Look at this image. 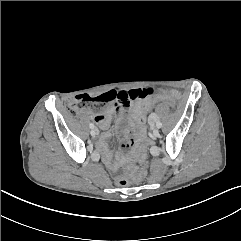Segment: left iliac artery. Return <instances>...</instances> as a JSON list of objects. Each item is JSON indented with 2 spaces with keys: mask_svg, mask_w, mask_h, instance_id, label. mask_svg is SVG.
Here are the masks:
<instances>
[{
  "mask_svg": "<svg viewBox=\"0 0 241 241\" xmlns=\"http://www.w3.org/2000/svg\"><path fill=\"white\" fill-rule=\"evenodd\" d=\"M156 126H157L158 128H161V127H162V123H161L160 121H158V122L156 123Z\"/></svg>",
  "mask_w": 241,
  "mask_h": 241,
  "instance_id": "44dca946",
  "label": "left iliac artery"
}]
</instances>
